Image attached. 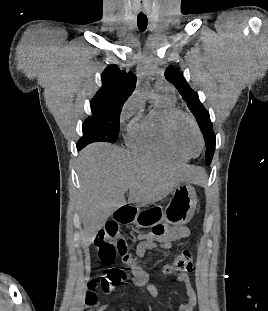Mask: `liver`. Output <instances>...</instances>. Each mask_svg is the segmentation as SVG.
I'll list each match as a JSON object with an SVG mask.
<instances>
[{
    "instance_id": "1",
    "label": "liver",
    "mask_w": 268,
    "mask_h": 311,
    "mask_svg": "<svg viewBox=\"0 0 268 311\" xmlns=\"http://www.w3.org/2000/svg\"><path fill=\"white\" fill-rule=\"evenodd\" d=\"M202 173L197 167L137 155L108 143L88 145L78 158L82 244L89 246L112 212L126 204L128 190V204L147 205Z\"/></svg>"
}]
</instances>
